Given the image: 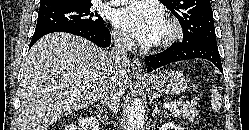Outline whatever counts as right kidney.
Returning a JSON list of instances; mask_svg holds the SVG:
<instances>
[{
  "label": "right kidney",
  "instance_id": "ca27d5eb",
  "mask_svg": "<svg viewBox=\"0 0 249 130\" xmlns=\"http://www.w3.org/2000/svg\"><path fill=\"white\" fill-rule=\"evenodd\" d=\"M78 128L76 125H68L65 130H98L99 122L95 117H85L78 121Z\"/></svg>",
  "mask_w": 249,
  "mask_h": 130
}]
</instances>
